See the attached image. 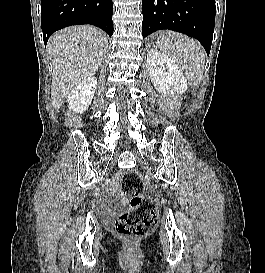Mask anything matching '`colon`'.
Returning a JSON list of instances; mask_svg holds the SVG:
<instances>
[{"label": "colon", "instance_id": "obj_1", "mask_svg": "<svg viewBox=\"0 0 265 273\" xmlns=\"http://www.w3.org/2000/svg\"><path fill=\"white\" fill-rule=\"evenodd\" d=\"M123 193L130 198L131 208L124 212L115 222L114 230L122 237L140 238L154 231L159 219L155 203L141 196L144 188L141 174L127 171L121 179Z\"/></svg>", "mask_w": 265, "mask_h": 273}]
</instances>
